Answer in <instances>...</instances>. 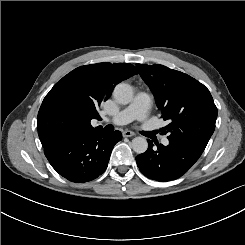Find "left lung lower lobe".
I'll use <instances>...</instances> for the list:
<instances>
[{"label":"left lung lower lobe","mask_w":245,"mask_h":245,"mask_svg":"<svg viewBox=\"0 0 245 245\" xmlns=\"http://www.w3.org/2000/svg\"><path fill=\"white\" fill-rule=\"evenodd\" d=\"M148 149L136 157L137 166L147 178L167 182L182 177L199 159L204 149L191 147L169 140V145L157 144L153 148L148 140Z\"/></svg>","instance_id":"left-lung-lower-lobe-1"}]
</instances>
